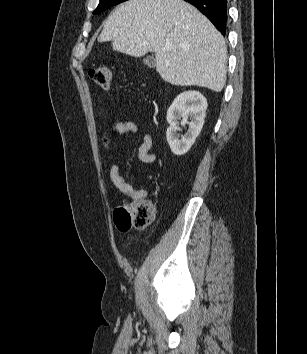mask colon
I'll return each mask as SVG.
<instances>
[{
  "instance_id": "colon-1",
  "label": "colon",
  "mask_w": 307,
  "mask_h": 354,
  "mask_svg": "<svg viewBox=\"0 0 307 354\" xmlns=\"http://www.w3.org/2000/svg\"><path fill=\"white\" fill-rule=\"evenodd\" d=\"M90 78L104 90L111 88L112 72L106 65L92 68L89 71ZM153 217L152 205L147 200L123 203L114 211V221L121 231L146 226Z\"/></svg>"
}]
</instances>
